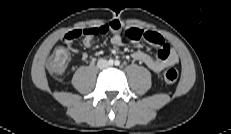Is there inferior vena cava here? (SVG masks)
I'll return each instance as SVG.
<instances>
[{
	"label": "inferior vena cava",
	"mask_w": 231,
	"mask_h": 134,
	"mask_svg": "<svg viewBox=\"0 0 231 134\" xmlns=\"http://www.w3.org/2000/svg\"><path fill=\"white\" fill-rule=\"evenodd\" d=\"M108 65H109L108 62L105 59H100L97 62V66L100 69L106 68V67H108Z\"/></svg>",
	"instance_id": "obj_1"
}]
</instances>
